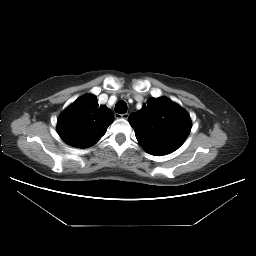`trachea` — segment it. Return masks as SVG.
Returning a JSON list of instances; mask_svg holds the SVG:
<instances>
[{
    "label": "trachea",
    "instance_id": "trachea-1",
    "mask_svg": "<svg viewBox=\"0 0 256 256\" xmlns=\"http://www.w3.org/2000/svg\"><path fill=\"white\" fill-rule=\"evenodd\" d=\"M115 111L119 114H124L127 112V104L125 101H119L115 105Z\"/></svg>",
    "mask_w": 256,
    "mask_h": 256
}]
</instances>
